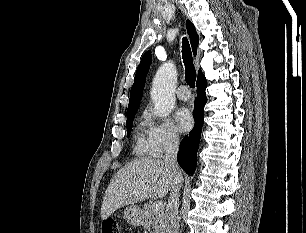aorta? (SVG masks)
Masks as SVG:
<instances>
[{
	"instance_id": "obj_1",
	"label": "aorta",
	"mask_w": 306,
	"mask_h": 233,
	"mask_svg": "<svg viewBox=\"0 0 306 233\" xmlns=\"http://www.w3.org/2000/svg\"><path fill=\"white\" fill-rule=\"evenodd\" d=\"M177 80L176 66L172 61L163 63L152 83L151 99L157 116H168L175 105V88Z\"/></svg>"
}]
</instances>
